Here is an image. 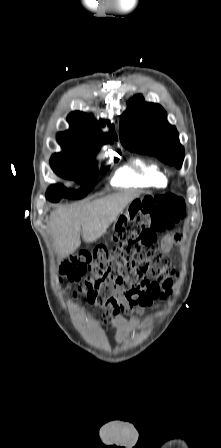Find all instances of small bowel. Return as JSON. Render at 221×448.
<instances>
[{
    "label": "small bowel",
    "instance_id": "1",
    "mask_svg": "<svg viewBox=\"0 0 221 448\" xmlns=\"http://www.w3.org/2000/svg\"><path fill=\"white\" fill-rule=\"evenodd\" d=\"M182 235L179 233L167 234L160 243V248L163 253H168L173 245L182 241ZM96 307L103 310L102 321L105 323H112L119 329L118 341L124 340L135 326V320H126L120 313L130 312L133 306L128 302L123 292L118 289L113 292H104L100 295Z\"/></svg>",
    "mask_w": 221,
    "mask_h": 448
}]
</instances>
